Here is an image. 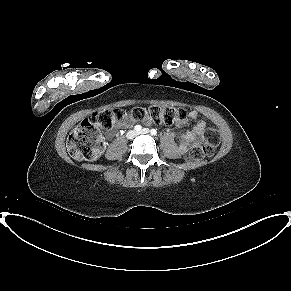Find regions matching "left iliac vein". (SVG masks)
Returning a JSON list of instances; mask_svg holds the SVG:
<instances>
[{
	"label": "left iliac vein",
	"mask_w": 291,
	"mask_h": 291,
	"mask_svg": "<svg viewBox=\"0 0 291 291\" xmlns=\"http://www.w3.org/2000/svg\"><path fill=\"white\" fill-rule=\"evenodd\" d=\"M149 133V129L144 128L141 131H139L137 134H148Z\"/></svg>",
	"instance_id": "1"
}]
</instances>
